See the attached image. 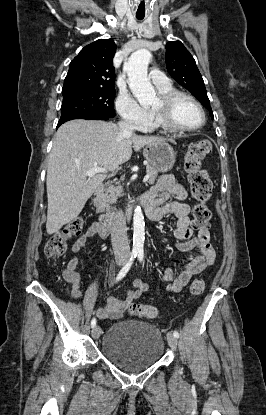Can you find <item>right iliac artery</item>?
I'll list each match as a JSON object with an SVG mask.
<instances>
[{
	"label": "right iliac artery",
	"mask_w": 266,
	"mask_h": 415,
	"mask_svg": "<svg viewBox=\"0 0 266 415\" xmlns=\"http://www.w3.org/2000/svg\"><path fill=\"white\" fill-rule=\"evenodd\" d=\"M138 252L133 251L131 253V256L128 260V262L124 265V267L120 270V272L118 273L117 277H116V281H120L129 271L134 259L137 257ZM96 325V319L93 318L91 320V327L93 328Z\"/></svg>",
	"instance_id": "obj_1"
}]
</instances>
